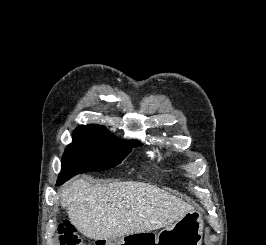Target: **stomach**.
<instances>
[{
	"label": "stomach",
	"instance_id": "0dacf381",
	"mask_svg": "<svg viewBox=\"0 0 266 245\" xmlns=\"http://www.w3.org/2000/svg\"><path fill=\"white\" fill-rule=\"evenodd\" d=\"M203 219L201 213H185L180 221L165 227L158 235L147 233H128V237H121L119 245L134 242V245H202ZM144 241V243H143ZM105 245H114L105 241Z\"/></svg>",
	"mask_w": 266,
	"mask_h": 245
}]
</instances>
